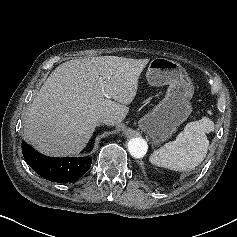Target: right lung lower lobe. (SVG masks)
I'll return each mask as SVG.
<instances>
[{"label":"right lung lower lobe","instance_id":"1","mask_svg":"<svg viewBox=\"0 0 237 237\" xmlns=\"http://www.w3.org/2000/svg\"><path fill=\"white\" fill-rule=\"evenodd\" d=\"M22 153L28 165L41 177L57 182H72L83 176L91 166V157L54 158L38 153L26 142L22 143Z\"/></svg>","mask_w":237,"mask_h":237}]
</instances>
